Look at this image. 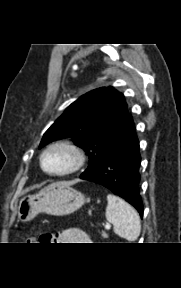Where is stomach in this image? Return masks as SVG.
Segmentation results:
<instances>
[{
    "label": "stomach",
    "instance_id": "1",
    "mask_svg": "<svg viewBox=\"0 0 181 288\" xmlns=\"http://www.w3.org/2000/svg\"><path fill=\"white\" fill-rule=\"evenodd\" d=\"M88 200L67 182L53 183L36 194L21 198L18 206V221L27 222L39 213L53 216L69 215Z\"/></svg>",
    "mask_w": 181,
    "mask_h": 288
}]
</instances>
